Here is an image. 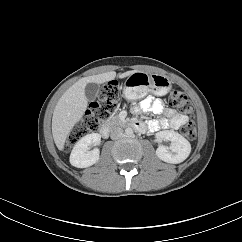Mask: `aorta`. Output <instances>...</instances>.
Listing matches in <instances>:
<instances>
[{
	"label": "aorta",
	"mask_w": 242,
	"mask_h": 242,
	"mask_svg": "<svg viewBox=\"0 0 242 242\" xmlns=\"http://www.w3.org/2000/svg\"><path fill=\"white\" fill-rule=\"evenodd\" d=\"M134 135L133 129L132 128H126L125 129V136L126 137H132Z\"/></svg>",
	"instance_id": "obj_1"
}]
</instances>
